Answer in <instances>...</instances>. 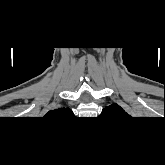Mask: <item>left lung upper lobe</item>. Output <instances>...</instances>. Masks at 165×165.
I'll return each instance as SVG.
<instances>
[{"instance_id": "1", "label": "left lung upper lobe", "mask_w": 165, "mask_h": 165, "mask_svg": "<svg viewBox=\"0 0 165 165\" xmlns=\"http://www.w3.org/2000/svg\"><path fill=\"white\" fill-rule=\"evenodd\" d=\"M101 115L104 116H113V117H122L128 115L119 105L112 104L110 106L105 107L102 110Z\"/></svg>"}]
</instances>
